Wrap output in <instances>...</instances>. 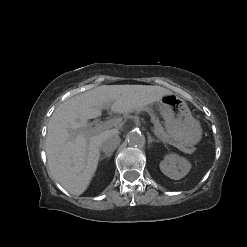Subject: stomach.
<instances>
[{"mask_svg": "<svg viewBox=\"0 0 247 247\" xmlns=\"http://www.w3.org/2000/svg\"><path fill=\"white\" fill-rule=\"evenodd\" d=\"M160 114L170 137L186 147L196 145L202 138L200 123L192 116L186 102L171 93L158 101Z\"/></svg>", "mask_w": 247, "mask_h": 247, "instance_id": "1", "label": "stomach"}]
</instances>
